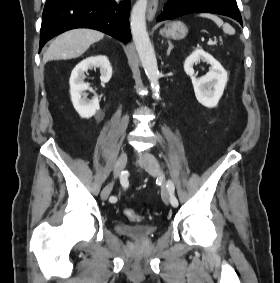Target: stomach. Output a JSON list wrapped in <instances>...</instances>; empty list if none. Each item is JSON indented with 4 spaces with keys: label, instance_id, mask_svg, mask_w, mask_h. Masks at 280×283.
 Returning a JSON list of instances; mask_svg holds the SVG:
<instances>
[{
    "label": "stomach",
    "instance_id": "stomach-1",
    "mask_svg": "<svg viewBox=\"0 0 280 283\" xmlns=\"http://www.w3.org/2000/svg\"><path fill=\"white\" fill-rule=\"evenodd\" d=\"M188 33L187 26L181 21H172L165 25L163 29L160 30V34L166 38L181 40L186 37Z\"/></svg>",
    "mask_w": 280,
    "mask_h": 283
}]
</instances>
